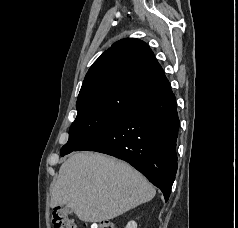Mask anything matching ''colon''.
Returning a JSON list of instances; mask_svg holds the SVG:
<instances>
[{
	"label": "colon",
	"mask_w": 238,
	"mask_h": 228,
	"mask_svg": "<svg viewBox=\"0 0 238 228\" xmlns=\"http://www.w3.org/2000/svg\"><path fill=\"white\" fill-rule=\"evenodd\" d=\"M51 219L54 228H75L73 219L63 207H55L52 210ZM89 228H115V225L110 220H103L91 224Z\"/></svg>",
	"instance_id": "1"
}]
</instances>
